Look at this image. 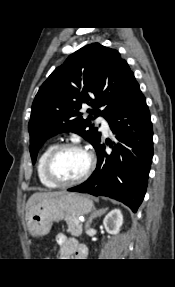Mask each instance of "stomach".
<instances>
[{"instance_id":"1","label":"stomach","mask_w":175,"mask_h":287,"mask_svg":"<svg viewBox=\"0 0 175 287\" xmlns=\"http://www.w3.org/2000/svg\"><path fill=\"white\" fill-rule=\"evenodd\" d=\"M93 208L94 204L87 196L65 192L34 205L26 215V226L32 236H45L50 232L53 222H59L67 215L83 216Z\"/></svg>"}]
</instances>
